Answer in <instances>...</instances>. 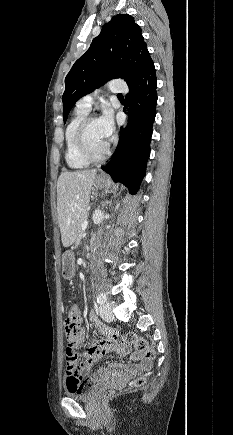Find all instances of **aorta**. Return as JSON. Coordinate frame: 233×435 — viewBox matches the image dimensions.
I'll return each instance as SVG.
<instances>
[{"label":"aorta","mask_w":233,"mask_h":435,"mask_svg":"<svg viewBox=\"0 0 233 435\" xmlns=\"http://www.w3.org/2000/svg\"><path fill=\"white\" fill-rule=\"evenodd\" d=\"M101 232H102V229H100V230H99V232H98V236H100V235H101Z\"/></svg>","instance_id":"obj_1"}]
</instances>
